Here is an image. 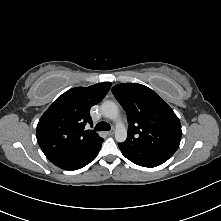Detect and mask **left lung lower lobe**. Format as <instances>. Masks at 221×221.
I'll return each mask as SVG.
<instances>
[{"label":"left lung lower lobe","mask_w":221,"mask_h":221,"mask_svg":"<svg viewBox=\"0 0 221 221\" xmlns=\"http://www.w3.org/2000/svg\"><path fill=\"white\" fill-rule=\"evenodd\" d=\"M118 146L127 159L143 167L159 166L173 155L165 151L136 147L125 142L119 143Z\"/></svg>","instance_id":"0a47b994"}]
</instances>
